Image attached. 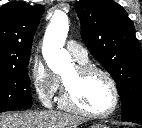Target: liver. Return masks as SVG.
<instances>
[{
	"label": "liver",
	"instance_id": "liver-1",
	"mask_svg": "<svg viewBox=\"0 0 142 128\" xmlns=\"http://www.w3.org/2000/svg\"><path fill=\"white\" fill-rule=\"evenodd\" d=\"M78 116L54 110L0 114V128H77Z\"/></svg>",
	"mask_w": 142,
	"mask_h": 128
}]
</instances>
